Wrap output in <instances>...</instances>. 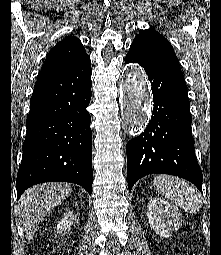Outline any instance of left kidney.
<instances>
[{
	"instance_id": "5707ae66",
	"label": "left kidney",
	"mask_w": 221,
	"mask_h": 255,
	"mask_svg": "<svg viewBox=\"0 0 221 255\" xmlns=\"http://www.w3.org/2000/svg\"><path fill=\"white\" fill-rule=\"evenodd\" d=\"M146 214L150 226L162 237H170L179 228L181 214L178 207L164 199H151Z\"/></svg>"
}]
</instances>
